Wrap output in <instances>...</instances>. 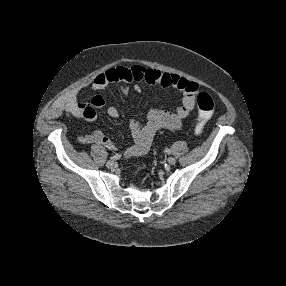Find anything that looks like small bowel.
Masks as SVG:
<instances>
[{
    "label": "small bowel",
    "mask_w": 286,
    "mask_h": 286,
    "mask_svg": "<svg viewBox=\"0 0 286 286\" xmlns=\"http://www.w3.org/2000/svg\"><path fill=\"white\" fill-rule=\"evenodd\" d=\"M141 81L150 85L175 88L182 94L181 104L175 111L154 108L149 111L144 122L130 121L129 128L133 144L124 149L123 155L129 158L144 154L149 150L153 138L159 130L179 129L184 120L188 118L195 107V98L200 89L196 82L160 70H147L142 65L116 66L98 74L89 84H82L69 90L56 101L49 115L58 117L61 114H66L76 120L92 122L97 117L96 109L103 107L105 101L102 96L95 95L89 104L80 103L78 97L84 88L89 85L93 91H100L109 85L118 84L121 94L126 95L130 83ZM134 90L140 92L141 88L136 84ZM107 114L111 118H117L119 110L116 106H109ZM77 142L80 144H99L112 150L116 148L113 142L99 129H93L87 135L78 137Z\"/></svg>",
    "instance_id": "obj_1"
}]
</instances>
